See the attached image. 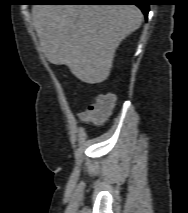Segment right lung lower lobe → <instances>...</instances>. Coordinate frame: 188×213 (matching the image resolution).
I'll use <instances>...</instances> for the list:
<instances>
[{"mask_svg": "<svg viewBox=\"0 0 188 213\" xmlns=\"http://www.w3.org/2000/svg\"><path fill=\"white\" fill-rule=\"evenodd\" d=\"M44 3H65L62 5H137L145 17H147L149 11L148 0H45Z\"/></svg>", "mask_w": 188, "mask_h": 213, "instance_id": "98d812e1", "label": "right lung lower lobe"}]
</instances>
